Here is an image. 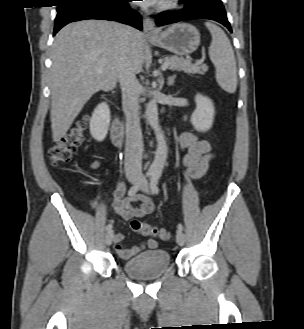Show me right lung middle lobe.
Listing matches in <instances>:
<instances>
[{
  "label": "right lung middle lobe",
  "mask_w": 304,
  "mask_h": 329,
  "mask_svg": "<svg viewBox=\"0 0 304 329\" xmlns=\"http://www.w3.org/2000/svg\"><path fill=\"white\" fill-rule=\"evenodd\" d=\"M61 3H68V2H74V1H81V0H59Z\"/></svg>",
  "instance_id": "obj_1"
}]
</instances>
